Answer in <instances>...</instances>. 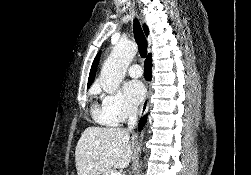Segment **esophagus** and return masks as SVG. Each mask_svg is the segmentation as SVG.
<instances>
[{
    "label": "esophagus",
    "mask_w": 251,
    "mask_h": 175,
    "mask_svg": "<svg viewBox=\"0 0 251 175\" xmlns=\"http://www.w3.org/2000/svg\"><path fill=\"white\" fill-rule=\"evenodd\" d=\"M145 87H146V96L143 102L141 103L140 110H139V117H142V115H144L148 111L150 103H151L150 100L152 96V89H151L150 83L146 82Z\"/></svg>",
    "instance_id": "34e87169"
}]
</instances>
